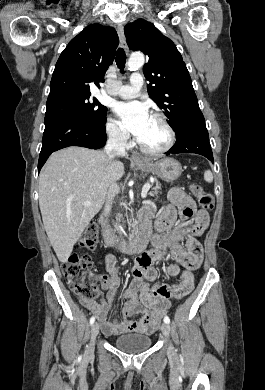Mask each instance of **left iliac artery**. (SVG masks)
<instances>
[{
	"instance_id": "left-iliac-artery-1",
	"label": "left iliac artery",
	"mask_w": 265,
	"mask_h": 390,
	"mask_svg": "<svg viewBox=\"0 0 265 390\" xmlns=\"http://www.w3.org/2000/svg\"><path fill=\"white\" fill-rule=\"evenodd\" d=\"M164 322L169 324L170 323V318L168 316H165L164 317Z\"/></svg>"
}]
</instances>
